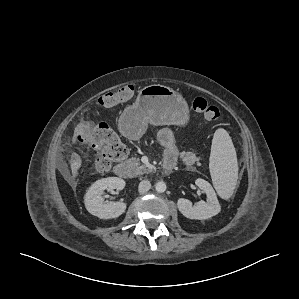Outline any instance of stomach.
Returning a JSON list of instances; mask_svg holds the SVG:
<instances>
[{
    "label": "stomach",
    "mask_w": 299,
    "mask_h": 299,
    "mask_svg": "<svg viewBox=\"0 0 299 299\" xmlns=\"http://www.w3.org/2000/svg\"><path fill=\"white\" fill-rule=\"evenodd\" d=\"M120 122L126 135L139 137L149 123L186 126L189 108L183 96L172 88L149 85L141 89L135 103L124 110Z\"/></svg>",
    "instance_id": "1"
}]
</instances>
